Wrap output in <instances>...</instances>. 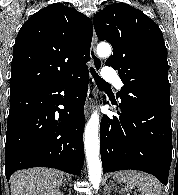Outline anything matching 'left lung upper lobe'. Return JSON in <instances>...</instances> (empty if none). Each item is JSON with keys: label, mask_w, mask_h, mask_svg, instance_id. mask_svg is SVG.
Wrapping results in <instances>:
<instances>
[{"label": "left lung upper lobe", "mask_w": 178, "mask_h": 195, "mask_svg": "<svg viewBox=\"0 0 178 195\" xmlns=\"http://www.w3.org/2000/svg\"><path fill=\"white\" fill-rule=\"evenodd\" d=\"M93 23L98 39L113 47L106 65L118 70L124 83L120 97L171 108L167 49L159 26L125 3L107 5Z\"/></svg>", "instance_id": "obj_1"}]
</instances>
